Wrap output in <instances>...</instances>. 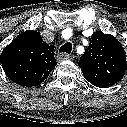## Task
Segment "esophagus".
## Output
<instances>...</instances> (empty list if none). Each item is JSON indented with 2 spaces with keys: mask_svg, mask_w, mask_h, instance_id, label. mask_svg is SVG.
Wrapping results in <instances>:
<instances>
[{
  "mask_svg": "<svg viewBox=\"0 0 127 127\" xmlns=\"http://www.w3.org/2000/svg\"><path fill=\"white\" fill-rule=\"evenodd\" d=\"M70 59V55L66 54V53H59L57 55V60L58 61H64V60H68Z\"/></svg>",
  "mask_w": 127,
  "mask_h": 127,
  "instance_id": "34e87169",
  "label": "esophagus"
}]
</instances>
